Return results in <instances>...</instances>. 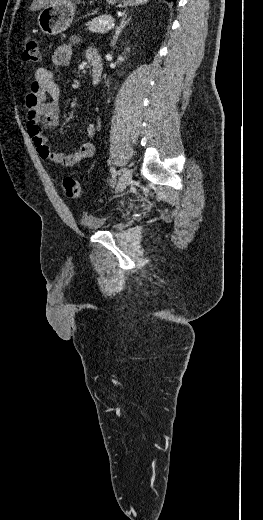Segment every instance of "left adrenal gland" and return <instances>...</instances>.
I'll return each instance as SVG.
<instances>
[{"label":"left adrenal gland","mask_w":263,"mask_h":520,"mask_svg":"<svg viewBox=\"0 0 263 520\" xmlns=\"http://www.w3.org/2000/svg\"><path fill=\"white\" fill-rule=\"evenodd\" d=\"M128 16V13L124 14L119 26L116 27V30H115V33L112 37V41H111V45L114 47L115 44H116V41L120 35V33L122 32V30L126 27V25H128L129 21L131 20V17L130 18H127Z\"/></svg>","instance_id":"left-adrenal-gland-1"}]
</instances>
